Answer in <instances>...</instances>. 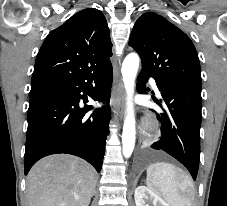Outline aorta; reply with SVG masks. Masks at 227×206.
I'll return each instance as SVG.
<instances>
[{
	"instance_id": "1",
	"label": "aorta",
	"mask_w": 227,
	"mask_h": 206,
	"mask_svg": "<svg viewBox=\"0 0 227 206\" xmlns=\"http://www.w3.org/2000/svg\"><path fill=\"white\" fill-rule=\"evenodd\" d=\"M140 58L136 53H130L122 63L121 73L126 91V110L122 133L123 155L129 158L134 150L136 139L135 113H134V87L139 68Z\"/></svg>"
}]
</instances>
